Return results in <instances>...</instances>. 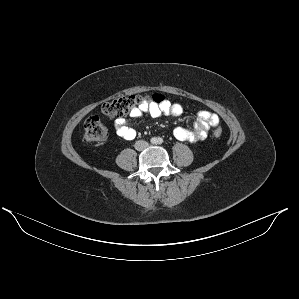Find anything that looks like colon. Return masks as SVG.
Returning a JSON list of instances; mask_svg holds the SVG:
<instances>
[{
    "instance_id": "colon-1",
    "label": "colon",
    "mask_w": 299,
    "mask_h": 299,
    "mask_svg": "<svg viewBox=\"0 0 299 299\" xmlns=\"http://www.w3.org/2000/svg\"><path fill=\"white\" fill-rule=\"evenodd\" d=\"M161 97L153 95L152 97H143L139 95H131L126 97H120L108 102H105L101 106V113L109 118L120 117L132 112L133 110L140 108L143 105L149 103H160ZM108 130L101 120L96 117H89L84 124L83 139L86 142H99L106 139ZM215 137L219 138L222 135L220 128L214 129Z\"/></svg>"
}]
</instances>
